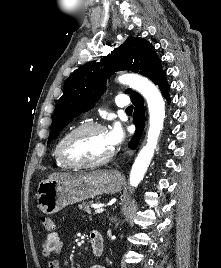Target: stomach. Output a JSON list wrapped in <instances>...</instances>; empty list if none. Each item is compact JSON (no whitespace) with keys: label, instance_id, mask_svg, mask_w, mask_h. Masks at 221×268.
I'll return each instance as SVG.
<instances>
[{"label":"stomach","instance_id":"1","mask_svg":"<svg viewBox=\"0 0 221 268\" xmlns=\"http://www.w3.org/2000/svg\"><path fill=\"white\" fill-rule=\"evenodd\" d=\"M122 176L105 171L94 178H83L76 181L44 180L38 184L36 197L37 207L45 214H54L64 207L102 193L113 194L122 187Z\"/></svg>","mask_w":221,"mask_h":268}]
</instances>
